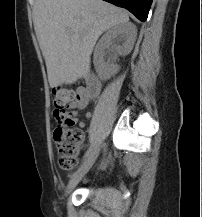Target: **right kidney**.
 <instances>
[{"mask_svg": "<svg viewBox=\"0 0 202 217\" xmlns=\"http://www.w3.org/2000/svg\"><path fill=\"white\" fill-rule=\"evenodd\" d=\"M137 30L132 23H123L110 28L99 40L94 51V66L101 80L110 79L115 75L120 67L114 63H106L104 56L105 50L112 47L114 53L119 55H127L133 49L136 40ZM122 42V44H114V41Z\"/></svg>", "mask_w": 202, "mask_h": 217, "instance_id": "1", "label": "right kidney"}]
</instances>
